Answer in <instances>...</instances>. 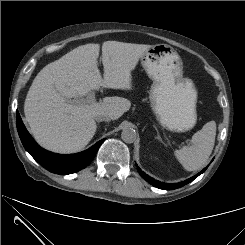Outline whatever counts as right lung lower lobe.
I'll return each mask as SVG.
<instances>
[{
    "label": "right lung lower lobe",
    "instance_id": "obj_1",
    "mask_svg": "<svg viewBox=\"0 0 245 245\" xmlns=\"http://www.w3.org/2000/svg\"><path fill=\"white\" fill-rule=\"evenodd\" d=\"M16 116L17 130L26 151L29 152L41 166L52 173L67 175L85 168L94 159L100 145L105 140L102 139L88 150L77 154L62 155L52 153L41 148L34 141L29 132L26 130L18 111Z\"/></svg>",
    "mask_w": 245,
    "mask_h": 245
}]
</instances>
